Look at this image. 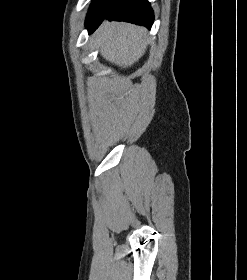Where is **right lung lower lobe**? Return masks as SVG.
Here are the masks:
<instances>
[{"label":"right lung lower lobe","instance_id":"98d812e1","mask_svg":"<svg viewBox=\"0 0 247 280\" xmlns=\"http://www.w3.org/2000/svg\"><path fill=\"white\" fill-rule=\"evenodd\" d=\"M104 19L126 21L151 28L154 14L148 0H113L102 17L86 24L89 33L94 32Z\"/></svg>","mask_w":247,"mask_h":280}]
</instances>
